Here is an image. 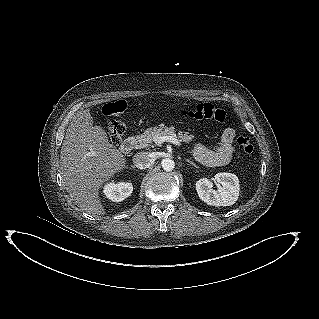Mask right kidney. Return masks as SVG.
Masks as SVG:
<instances>
[{"label":"right kidney","instance_id":"right-kidney-1","mask_svg":"<svg viewBox=\"0 0 319 319\" xmlns=\"http://www.w3.org/2000/svg\"><path fill=\"white\" fill-rule=\"evenodd\" d=\"M133 191V186L128 182L110 183L104 188V194L113 202H121L129 197Z\"/></svg>","mask_w":319,"mask_h":319}]
</instances>
